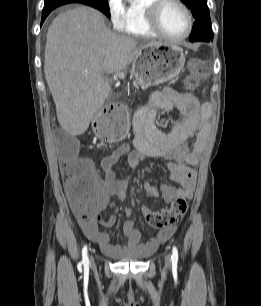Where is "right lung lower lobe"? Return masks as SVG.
<instances>
[{"label": "right lung lower lobe", "instance_id": "1", "mask_svg": "<svg viewBox=\"0 0 261 306\" xmlns=\"http://www.w3.org/2000/svg\"><path fill=\"white\" fill-rule=\"evenodd\" d=\"M52 10H49V11H43L42 12V20H41V25L42 23L44 22V20L46 19V17L49 15V13L51 12Z\"/></svg>", "mask_w": 261, "mask_h": 306}]
</instances>
